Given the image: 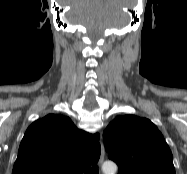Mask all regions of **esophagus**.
Segmentation results:
<instances>
[{
	"instance_id": "esophagus-1",
	"label": "esophagus",
	"mask_w": 187,
	"mask_h": 174,
	"mask_svg": "<svg viewBox=\"0 0 187 174\" xmlns=\"http://www.w3.org/2000/svg\"><path fill=\"white\" fill-rule=\"evenodd\" d=\"M100 145H101V153H100V157H99V161L98 164L101 165L104 161V156H105V149H104V144L103 141H100Z\"/></svg>"
}]
</instances>
